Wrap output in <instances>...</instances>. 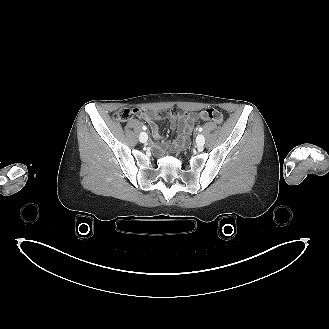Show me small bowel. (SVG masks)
Masks as SVG:
<instances>
[{
  "label": "small bowel",
  "mask_w": 329,
  "mask_h": 329,
  "mask_svg": "<svg viewBox=\"0 0 329 329\" xmlns=\"http://www.w3.org/2000/svg\"><path fill=\"white\" fill-rule=\"evenodd\" d=\"M137 115L144 121L150 124L153 138L155 140L160 139V132L156 125L158 119H168L171 122V129L179 133L178 138L172 144V148L175 150H181L186 147L188 137L194 129L196 123V117L192 113H181L177 107L171 108L169 111L159 112H139ZM159 149L165 151L168 149L167 144H160Z\"/></svg>",
  "instance_id": "1"
}]
</instances>
